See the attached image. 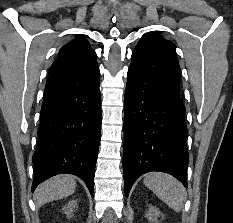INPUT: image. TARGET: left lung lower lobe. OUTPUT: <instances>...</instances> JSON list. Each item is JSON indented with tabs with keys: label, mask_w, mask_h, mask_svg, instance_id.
Segmentation results:
<instances>
[{
	"label": "left lung lower lobe",
	"mask_w": 233,
	"mask_h": 223,
	"mask_svg": "<svg viewBox=\"0 0 233 223\" xmlns=\"http://www.w3.org/2000/svg\"><path fill=\"white\" fill-rule=\"evenodd\" d=\"M178 61L148 40L131 57L125 92L123 172L125 194L144 173L161 171L187 187L189 154Z\"/></svg>",
	"instance_id": "obj_1"
}]
</instances>
